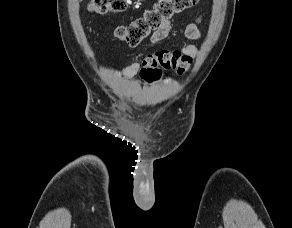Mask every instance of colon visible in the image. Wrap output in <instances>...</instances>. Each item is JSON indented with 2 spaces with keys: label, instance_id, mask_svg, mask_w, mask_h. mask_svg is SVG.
Wrapping results in <instances>:
<instances>
[{
  "label": "colon",
  "instance_id": "1",
  "mask_svg": "<svg viewBox=\"0 0 292 228\" xmlns=\"http://www.w3.org/2000/svg\"><path fill=\"white\" fill-rule=\"evenodd\" d=\"M199 0H160L153 8L147 10L141 17L126 25L115 28V36L128 46H137L162 24L184 10L191 8ZM127 7V0H91L89 10L96 14L108 12L122 13ZM174 69L185 73L189 68L185 60L175 51H159L149 55L142 62L140 76L147 82L157 80L160 69Z\"/></svg>",
  "mask_w": 292,
  "mask_h": 228
}]
</instances>
